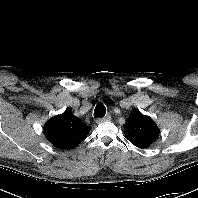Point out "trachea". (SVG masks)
Listing matches in <instances>:
<instances>
[{
	"label": "trachea",
	"instance_id": "1",
	"mask_svg": "<svg viewBox=\"0 0 198 198\" xmlns=\"http://www.w3.org/2000/svg\"><path fill=\"white\" fill-rule=\"evenodd\" d=\"M106 114V108L103 103L99 102L94 110V117H104Z\"/></svg>",
	"mask_w": 198,
	"mask_h": 198
}]
</instances>
